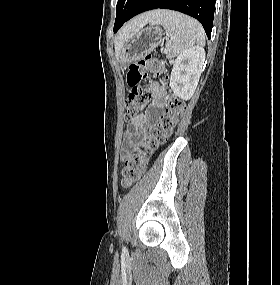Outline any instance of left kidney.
Instances as JSON below:
<instances>
[{"label": "left kidney", "instance_id": "left-kidney-1", "mask_svg": "<svg viewBox=\"0 0 280 285\" xmlns=\"http://www.w3.org/2000/svg\"><path fill=\"white\" fill-rule=\"evenodd\" d=\"M205 61V51L200 46L192 47L177 57L173 64L170 86L174 95L187 101L198 85Z\"/></svg>", "mask_w": 280, "mask_h": 285}]
</instances>
